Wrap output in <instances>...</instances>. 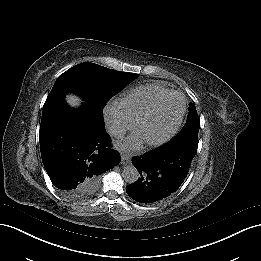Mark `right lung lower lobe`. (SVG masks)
Masks as SVG:
<instances>
[{
    "instance_id": "obj_1",
    "label": "right lung lower lobe",
    "mask_w": 261,
    "mask_h": 261,
    "mask_svg": "<svg viewBox=\"0 0 261 261\" xmlns=\"http://www.w3.org/2000/svg\"><path fill=\"white\" fill-rule=\"evenodd\" d=\"M64 94L50 93L43 106L39 141L43 165L51 182L69 195L91 188L98 175L121 158L110 149L102 109L84 103L80 111L68 108Z\"/></svg>"
}]
</instances>
